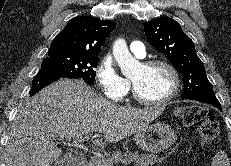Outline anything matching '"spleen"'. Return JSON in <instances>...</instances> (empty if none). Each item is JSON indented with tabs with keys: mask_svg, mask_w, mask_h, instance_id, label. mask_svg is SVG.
I'll list each match as a JSON object with an SVG mask.
<instances>
[{
	"mask_svg": "<svg viewBox=\"0 0 231 166\" xmlns=\"http://www.w3.org/2000/svg\"><path fill=\"white\" fill-rule=\"evenodd\" d=\"M212 166H229V160L224 151H220L216 154L212 161Z\"/></svg>",
	"mask_w": 231,
	"mask_h": 166,
	"instance_id": "spleen-1",
	"label": "spleen"
}]
</instances>
